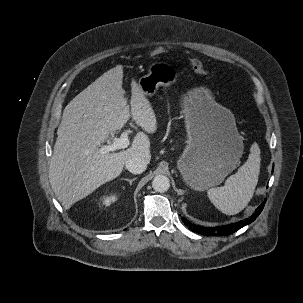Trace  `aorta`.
Listing matches in <instances>:
<instances>
[{
	"label": "aorta",
	"instance_id": "1",
	"mask_svg": "<svg viewBox=\"0 0 303 303\" xmlns=\"http://www.w3.org/2000/svg\"><path fill=\"white\" fill-rule=\"evenodd\" d=\"M152 187L157 192H165L170 187V181L165 175H157L152 181Z\"/></svg>",
	"mask_w": 303,
	"mask_h": 303
}]
</instances>
